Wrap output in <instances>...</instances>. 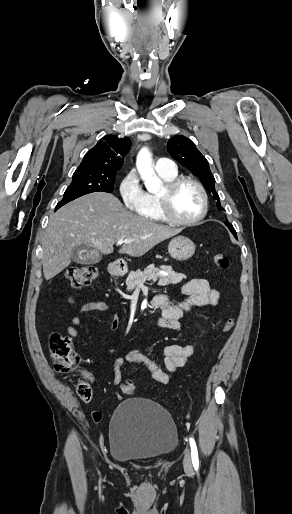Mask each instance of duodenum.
<instances>
[{
    "label": "duodenum",
    "instance_id": "1",
    "mask_svg": "<svg viewBox=\"0 0 292 514\" xmlns=\"http://www.w3.org/2000/svg\"><path fill=\"white\" fill-rule=\"evenodd\" d=\"M124 271L120 270L118 275H123ZM153 306L160 309H168L170 307V302L165 295H157L153 299Z\"/></svg>",
    "mask_w": 292,
    "mask_h": 514
}]
</instances>
